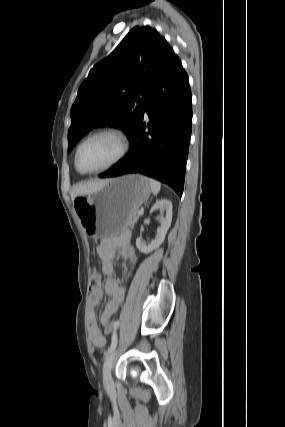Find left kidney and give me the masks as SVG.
Listing matches in <instances>:
<instances>
[{
  "label": "left kidney",
  "mask_w": 285,
  "mask_h": 427,
  "mask_svg": "<svg viewBox=\"0 0 285 427\" xmlns=\"http://www.w3.org/2000/svg\"><path fill=\"white\" fill-rule=\"evenodd\" d=\"M157 209H160L161 211H165L166 216L161 221V226L157 230L156 238L152 240V242L148 246H146V244L142 241L140 237L136 239V246L138 250L144 254H148L152 252L162 244L167 234V231L171 225L172 203L167 199L160 200L154 204V206L150 210V213H153Z\"/></svg>",
  "instance_id": "left-kidney-1"
}]
</instances>
